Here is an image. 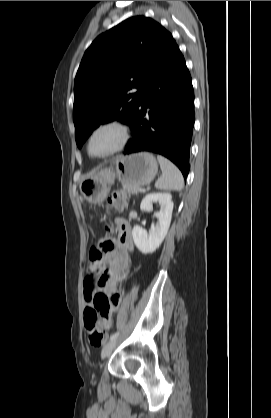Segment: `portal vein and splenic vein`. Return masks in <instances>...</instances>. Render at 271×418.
<instances>
[{
    "label": "portal vein and splenic vein",
    "mask_w": 271,
    "mask_h": 418,
    "mask_svg": "<svg viewBox=\"0 0 271 418\" xmlns=\"http://www.w3.org/2000/svg\"><path fill=\"white\" fill-rule=\"evenodd\" d=\"M140 192H142V191H144V189H142V188H140V190H139Z\"/></svg>",
    "instance_id": "18ae733b"
}]
</instances>
